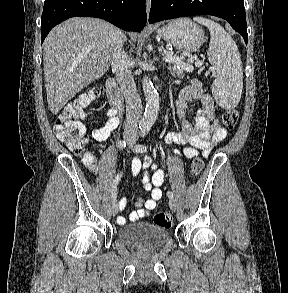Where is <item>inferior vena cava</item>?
<instances>
[{"instance_id":"obj_1","label":"inferior vena cava","mask_w":288,"mask_h":293,"mask_svg":"<svg viewBox=\"0 0 288 293\" xmlns=\"http://www.w3.org/2000/svg\"><path fill=\"white\" fill-rule=\"evenodd\" d=\"M122 47L123 36L119 37L114 48L112 69L116 72V78L126 102L124 135L126 137L136 138L138 134V124L140 123L142 114V104L130 70V60L122 50Z\"/></svg>"}]
</instances>
